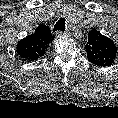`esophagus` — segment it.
Segmentation results:
<instances>
[{"instance_id":"esophagus-1","label":"esophagus","mask_w":118,"mask_h":118,"mask_svg":"<svg viewBox=\"0 0 118 118\" xmlns=\"http://www.w3.org/2000/svg\"><path fill=\"white\" fill-rule=\"evenodd\" d=\"M68 34H69V32H62V31H57V32H56V35L59 36V37H60V36H66V35H68Z\"/></svg>"}]
</instances>
